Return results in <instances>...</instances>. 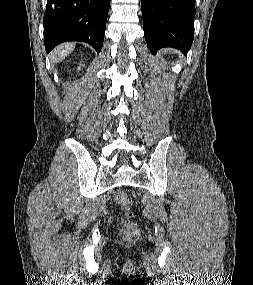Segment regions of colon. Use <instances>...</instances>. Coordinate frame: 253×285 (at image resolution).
Listing matches in <instances>:
<instances>
[{"mask_svg":"<svg viewBox=\"0 0 253 285\" xmlns=\"http://www.w3.org/2000/svg\"><path fill=\"white\" fill-rule=\"evenodd\" d=\"M115 200L117 204L125 211V215L121 220L120 233L125 241H134L139 236V230L135 224L130 222L132 213L129 211V197L125 191L120 190L116 193Z\"/></svg>","mask_w":253,"mask_h":285,"instance_id":"5ec220e1","label":"colon"}]
</instances>
